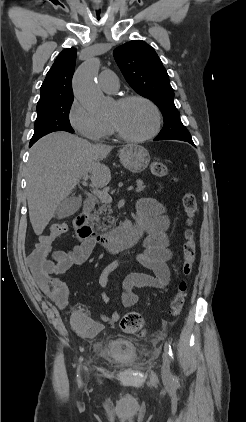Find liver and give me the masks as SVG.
<instances>
[{
  "label": "liver",
  "mask_w": 246,
  "mask_h": 422,
  "mask_svg": "<svg viewBox=\"0 0 246 422\" xmlns=\"http://www.w3.org/2000/svg\"><path fill=\"white\" fill-rule=\"evenodd\" d=\"M111 146L95 145L66 132H55L30 149L27 165L29 218L36 235H41L60 203L72 192L84 174L95 187L111 180L110 169L100 161Z\"/></svg>",
  "instance_id": "liver-1"
}]
</instances>
